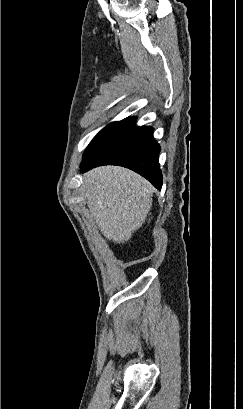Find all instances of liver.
Here are the masks:
<instances>
[{"label": "liver", "instance_id": "6515ba94", "mask_svg": "<svg viewBox=\"0 0 243 409\" xmlns=\"http://www.w3.org/2000/svg\"><path fill=\"white\" fill-rule=\"evenodd\" d=\"M82 186L98 228L119 244L142 226L152 206L153 186L123 167H97L84 174Z\"/></svg>", "mask_w": 243, "mask_h": 409}]
</instances>
